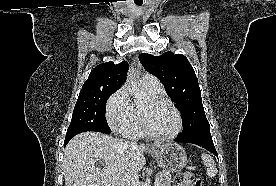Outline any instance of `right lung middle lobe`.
<instances>
[{
	"instance_id": "dd1d6c3e",
	"label": "right lung middle lobe",
	"mask_w": 276,
	"mask_h": 186,
	"mask_svg": "<svg viewBox=\"0 0 276 186\" xmlns=\"http://www.w3.org/2000/svg\"><path fill=\"white\" fill-rule=\"evenodd\" d=\"M116 90L80 91L67 133L84 129L111 131L105 118L107 99Z\"/></svg>"
}]
</instances>
